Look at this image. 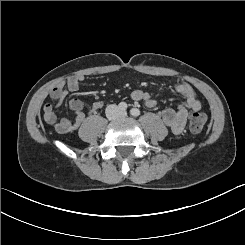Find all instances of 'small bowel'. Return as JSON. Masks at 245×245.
Listing matches in <instances>:
<instances>
[{
  "mask_svg": "<svg viewBox=\"0 0 245 245\" xmlns=\"http://www.w3.org/2000/svg\"><path fill=\"white\" fill-rule=\"evenodd\" d=\"M84 78L82 76L70 77L65 82L55 86L50 92V98L61 102L69 92L78 90ZM174 90L184 97V101L178 105L177 109L167 108L162 113L164 124L174 133L180 134L186 124L189 111H198L201 107L199 97L194 88L187 82L178 80L174 83ZM131 98L135 102H143L147 107L152 108L157 105V100L149 93L143 90H134ZM103 101H96L91 107V113H95L102 108ZM69 109L74 115V119L58 118L54 112L53 104L46 103L43 106L45 122L52 126L58 133L64 134L74 131L84 122L86 114L83 104L79 99L73 98L68 102Z\"/></svg>",
  "mask_w": 245,
  "mask_h": 245,
  "instance_id": "small-bowel-1",
  "label": "small bowel"
}]
</instances>
